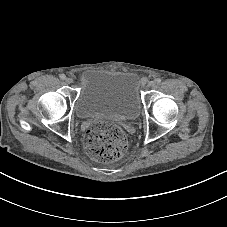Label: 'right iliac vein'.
Wrapping results in <instances>:
<instances>
[{
    "mask_svg": "<svg viewBox=\"0 0 227 227\" xmlns=\"http://www.w3.org/2000/svg\"><path fill=\"white\" fill-rule=\"evenodd\" d=\"M65 82L67 83V84H71L72 82H73V80H72V78H66L65 79Z\"/></svg>",
    "mask_w": 227,
    "mask_h": 227,
    "instance_id": "obj_1",
    "label": "right iliac vein"
}]
</instances>
